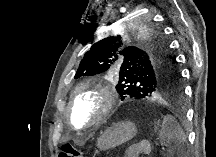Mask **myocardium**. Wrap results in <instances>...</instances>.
Listing matches in <instances>:
<instances>
[{
	"label": "myocardium",
	"instance_id": "myocardium-1",
	"mask_svg": "<svg viewBox=\"0 0 216 157\" xmlns=\"http://www.w3.org/2000/svg\"><path fill=\"white\" fill-rule=\"evenodd\" d=\"M84 92H93L100 99V106L95 114V116L86 124L82 126H77L70 120V123L76 129H86L90 128L101 121H103L113 110L117 103V96L111 89L109 85L102 84L96 81H85L79 85H77L70 93L69 104H68V114L72 117V110L76 103L78 96Z\"/></svg>",
	"mask_w": 216,
	"mask_h": 157
}]
</instances>
